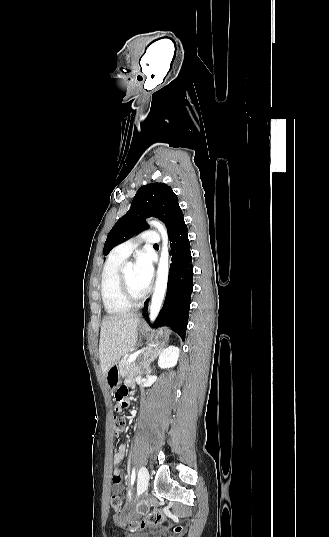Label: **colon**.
I'll use <instances>...</instances> for the list:
<instances>
[{"label": "colon", "mask_w": 329, "mask_h": 537, "mask_svg": "<svg viewBox=\"0 0 329 537\" xmlns=\"http://www.w3.org/2000/svg\"><path fill=\"white\" fill-rule=\"evenodd\" d=\"M116 394V393H115ZM128 405V403H127ZM125 430V420L122 417L116 416L114 418V434L120 436ZM110 505L115 512H120L122 509V500L118 494H112L110 499ZM164 514L160 510H154L145 516L142 520L132 519L123 523V525L130 529L131 533L137 534L140 528L145 526L157 525L163 521ZM183 528L178 526L175 528L176 533H181Z\"/></svg>", "instance_id": "colon-1"}]
</instances>
